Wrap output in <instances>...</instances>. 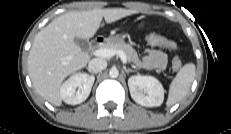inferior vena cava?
<instances>
[{
    "label": "inferior vena cava",
    "instance_id": "inferior-vena-cava-1",
    "mask_svg": "<svg viewBox=\"0 0 231 134\" xmlns=\"http://www.w3.org/2000/svg\"><path fill=\"white\" fill-rule=\"evenodd\" d=\"M107 67V62L101 58H94L88 64V70L92 73H98Z\"/></svg>",
    "mask_w": 231,
    "mask_h": 134
}]
</instances>
